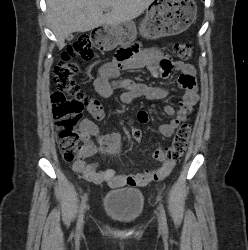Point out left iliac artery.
<instances>
[{
	"mask_svg": "<svg viewBox=\"0 0 248 250\" xmlns=\"http://www.w3.org/2000/svg\"><path fill=\"white\" fill-rule=\"evenodd\" d=\"M159 209H160V215L162 219L163 231L165 234H167L168 233L167 218H166L165 210L162 204H160Z\"/></svg>",
	"mask_w": 248,
	"mask_h": 250,
	"instance_id": "left-iliac-artery-1",
	"label": "left iliac artery"
}]
</instances>
